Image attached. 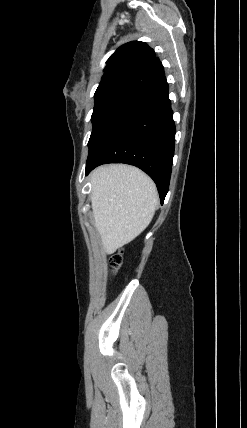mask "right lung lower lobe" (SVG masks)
Returning a JSON list of instances; mask_svg holds the SVG:
<instances>
[{
	"label": "right lung lower lobe",
	"instance_id": "1",
	"mask_svg": "<svg viewBox=\"0 0 247 428\" xmlns=\"http://www.w3.org/2000/svg\"><path fill=\"white\" fill-rule=\"evenodd\" d=\"M168 84L163 77L139 93L102 130L89 148L86 175L105 163H126L156 183L161 204L168 192L175 142Z\"/></svg>",
	"mask_w": 247,
	"mask_h": 428
}]
</instances>
